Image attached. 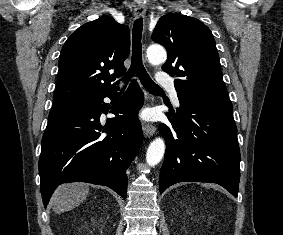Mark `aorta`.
<instances>
[{"label": "aorta", "instance_id": "aorta-1", "mask_svg": "<svg viewBox=\"0 0 283 235\" xmlns=\"http://www.w3.org/2000/svg\"><path fill=\"white\" fill-rule=\"evenodd\" d=\"M147 57L150 63L160 64L166 60V51L160 45H151L147 49ZM165 153V142L158 137L153 140L146 153V162L150 166L157 165L163 158Z\"/></svg>", "mask_w": 283, "mask_h": 235}]
</instances>
